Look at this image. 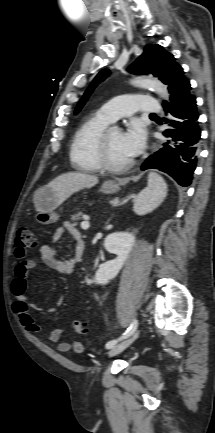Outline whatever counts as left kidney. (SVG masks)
Returning <instances> with one entry per match:
<instances>
[{"instance_id":"obj_1","label":"left kidney","mask_w":215,"mask_h":433,"mask_svg":"<svg viewBox=\"0 0 215 433\" xmlns=\"http://www.w3.org/2000/svg\"><path fill=\"white\" fill-rule=\"evenodd\" d=\"M135 243V236L128 232H115L105 239V249L117 257L101 264L92 282L100 285L107 284L115 278L123 267Z\"/></svg>"}]
</instances>
